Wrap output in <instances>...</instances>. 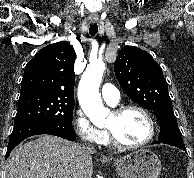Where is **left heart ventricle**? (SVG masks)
Instances as JSON below:
<instances>
[{
	"instance_id": "1",
	"label": "left heart ventricle",
	"mask_w": 194,
	"mask_h": 178,
	"mask_svg": "<svg viewBox=\"0 0 194 178\" xmlns=\"http://www.w3.org/2000/svg\"><path fill=\"white\" fill-rule=\"evenodd\" d=\"M105 127L110 128L120 141L127 144L140 143L149 135L147 119L136 110H130L120 116L112 113Z\"/></svg>"
}]
</instances>
